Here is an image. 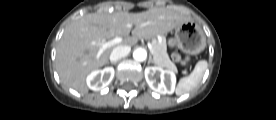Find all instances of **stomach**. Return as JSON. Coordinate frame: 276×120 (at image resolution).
<instances>
[{
  "mask_svg": "<svg viewBox=\"0 0 276 120\" xmlns=\"http://www.w3.org/2000/svg\"><path fill=\"white\" fill-rule=\"evenodd\" d=\"M174 40L179 48L191 55L199 54L206 47V36L203 30L192 21L176 27Z\"/></svg>",
  "mask_w": 276,
  "mask_h": 120,
  "instance_id": "1",
  "label": "stomach"
}]
</instances>
